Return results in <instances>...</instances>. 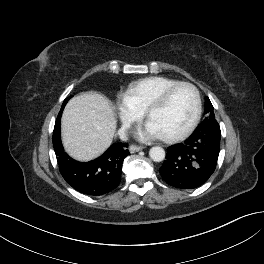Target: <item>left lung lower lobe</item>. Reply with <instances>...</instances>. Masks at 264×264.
Wrapping results in <instances>:
<instances>
[{
  "label": "left lung lower lobe",
  "instance_id": "0a47b994",
  "mask_svg": "<svg viewBox=\"0 0 264 264\" xmlns=\"http://www.w3.org/2000/svg\"><path fill=\"white\" fill-rule=\"evenodd\" d=\"M221 131L216 120H204L184 143L170 146L159 169L171 186L193 189L204 184L216 168Z\"/></svg>",
  "mask_w": 264,
  "mask_h": 264
}]
</instances>
